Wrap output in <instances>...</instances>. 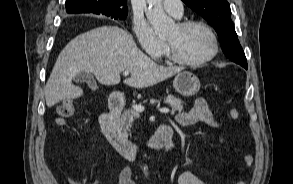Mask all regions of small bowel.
Here are the masks:
<instances>
[{
  "label": "small bowel",
  "instance_id": "obj_1",
  "mask_svg": "<svg viewBox=\"0 0 293 184\" xmlns=\"http://www.w3.org/2000/svg\"><path fill=\"white\" fill-rule=\"evenodd\" d=\"M177 122L182 126H190L197 122H204L212 127H219L220 123L215 119L207 102L203 98H198L192 108L185 112H180L176 116ZM70 184H81L79 179L67 173ZM118 184H136L131 179V169L128 166L121 168L117 173ZM178 184H207L191 172H183L178 177Z\"/></svg>",
  "mask_w": 293,
  "mask_h": 184
}]
</instances>
